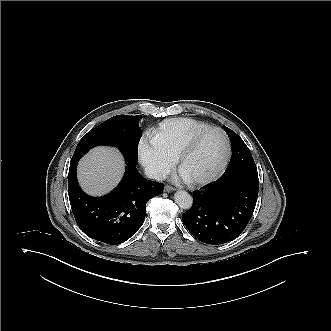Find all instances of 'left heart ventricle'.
I'll list each match as a JSON object with an SVG mask.
<instances>
[{
	"instance_id": "1",
	"label": "left heart ventricle",
	"mask_w": 331,
	"mask_h": 331,
	"mask_svg": "<svg viewBox=\"0 0 331 331\" xmlns=\"http://www.w3.org/2000/svg\"><path fill=\"white\" fill-rule=\"evenodd\" d=\"M224 156V141L218 132L203 136L186 155L181 171L190 179L207 177L220 166Z\"/></svg>"
}]
</instances>
